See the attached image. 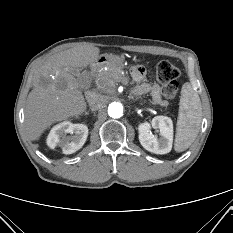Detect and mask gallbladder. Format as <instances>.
<instances>
[{"instance_id":"bac80fb5","label":"gallbladder","mask_w":233,"mask_h":233,"mask_svg":"<svg viewBox=\"0 0 233 233\" xmlns=\"http://www.w3.org/2000/svg\"><path fill=\"white\" fill-rule=\"evenodd\" d=\"M74 74H80L79 70H74L73 71ZM79 76V75H78Z\"/></svg>"}]
</instances>
